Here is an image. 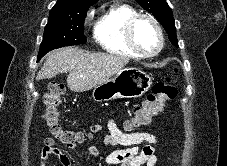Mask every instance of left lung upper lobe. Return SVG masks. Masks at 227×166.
I'll return each instance as SVG.
<instances>
[{"label": "left lung upper lobe", "instance_id": "obj_1", "mask_svg": "<svg viewBox=\"0 0 227 166\" xmlns=\"http://www.w3.org/2000/svg\"><path fill=\"white\" fill-rule=\"evenodd\" d=\"M162 24L171 43L178 47L176 28L171 8L166 0H135Z\"/></svg>", "mask_w": 227, "mask_h": 166}]
</instances>
